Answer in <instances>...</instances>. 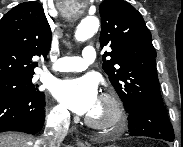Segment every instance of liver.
Here are the masks:
<instances>
[{"label": "liver", "mask_w": 183, "mask_h": 147, "mask_svg": "<svg viewBox=\"0 0 183 147\" xmlns=\"http://www.w3.org/2000/svg\"><path fill=\"white\" fill-rule=\"evenodd\" d=\"M35 139L19 133L0 134V147H35Z\"/></svg>", "instance_id": "1"}]
</instances>
